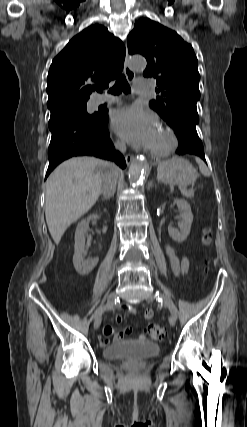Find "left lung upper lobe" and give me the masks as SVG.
Here are the masks:
<instances>
[{
    "instance_id": "obj_1",
    "label": "left lung upper lobe",
    "mask_w": 247,
    "mask_h": 427,
    "mask_svg": "<svg viewBox=\"0 0 247 427\" xmlns=\"http://www.w3.org/2000/svg\"><path fill=\"white\" fill-rule=\"evenodd\" d=\"M130 54L147 60L144 77L157 80L160 93L149 105L170 126L179 121L198 124L196 102L200 98L198 61L192 46L176 32L142 19L127 38Z\"/></svg>"
}]
</instances>
